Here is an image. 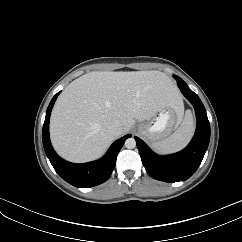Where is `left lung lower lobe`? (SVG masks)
I'll use <instances>...</instances> for the list:
<instances>
[{"label": "left lung lower lobe", "instance_id": "1", "mask_svg": "<svg viewBox=\"0 0 242 242\" xmlns=\"http://www.w3.org/2000/svg\"><path fill=\"white\" fill-rule=\"evenodd\" d=\"M177 84L183 95L195 109L197 126L193 139L182 151L160 156L155 154L141 139L135 137L142 163L150 176L164 182L185 181L199 167L210 140V124L201 100L181 79Z\"/></svg>", "mask_w": 242, "mask_h": 242}]
</instances>
